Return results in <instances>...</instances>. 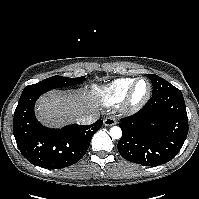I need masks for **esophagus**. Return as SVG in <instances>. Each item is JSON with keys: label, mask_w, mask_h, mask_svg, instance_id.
I'll use <instances>...</instances> for the list:
<instances>
[{"label": "esophagus", "mask_w": 199, "mask_h": 199, "mask_svg": "<svg viewBox=\"0 0 199 199\" xmlns=\"http://www.w3.org/2000/svg\"><path fill=\"white\" fill-rule=\"evenodd\" d=\"M117 121L113 116H109L107 118L104 119V125L105 126H113L116 125Z\"/></svg>", "instance_id": "obj_1"}]
</instances>
